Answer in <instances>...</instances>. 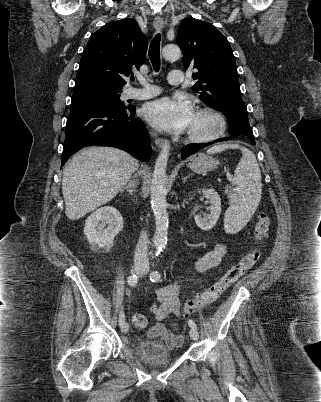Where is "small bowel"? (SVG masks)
Returning <instances> with one entry per match:
<instances>
[{
	"label": "small bowel",
	"mask_w": 321,
	"mask_h": 402,
	"mask_svg": "<svg viewBox=\"0 0 321 402\" xmlns=\"http://www.w3.org/2000/svg\"><path fill=\"white\" fill-rule=\"evenodd\" d=\"M227 254V247L224 244H216L214 248L195 262V270L197 272H205L218 267ZM181 285L174 283L160 287L156 290L157 304L151 306L150 310L154 318L157 320L150 328L151 337L160 338L169 346H177L182 342V336L178 332V325L173 324L172 330L168 329L164 324V320L170 315H181L180 302Z\"/></svg>",
	"instance_id": "obj_1"
}]
</instances>
